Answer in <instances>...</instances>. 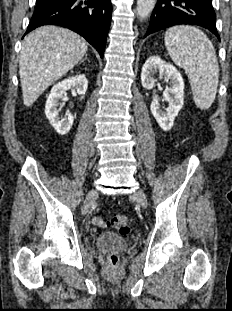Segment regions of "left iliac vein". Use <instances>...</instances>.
Segmentation results:
<instances>
[{
	"mask_svg": "<svg viewBox=\"0 0 232 311\" xmlns=\"http://www.w3.org/2000/svg\"><path fill=\"white\" fill-rule=\"evenodd\" d=\"M132 196L136 199V201L138 202V204L142 208H144V209L147 208V205H148L147 199H146V196H145V194H144V192L142 190L138 189L137 191H135L133 193Z\"/></svg>",
	"mask_w": 232,
	"mask_h": 311,
	"instance_id": "1",
	"label": "left iliac vein"
}]
</instances>
